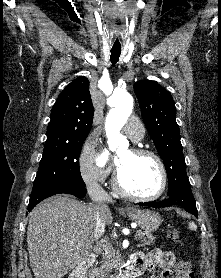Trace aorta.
<instances>
[{"instance_id": "1", "label": "aorta", "mask_w": 221, "mask_h": 278, "mask_svg": "<svg viewBox=\"0 0 221 278\" xmlns=\"http://www.w3.org/2000/svg\"><path fill=\"white\" fill-rule=\"evenodd\" d=\"M113 100V108L107 114L105 122L108 145L112 151L116 150L123 140L120 130L133 110V98L128 92L115 94Z\"/></svg>"}]
</instances>
